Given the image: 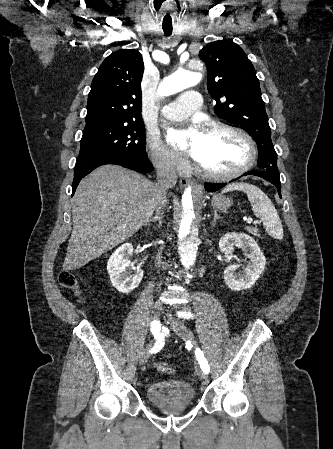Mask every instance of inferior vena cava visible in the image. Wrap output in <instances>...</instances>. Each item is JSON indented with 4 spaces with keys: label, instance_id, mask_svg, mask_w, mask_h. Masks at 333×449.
<instances>
[{
    "label": "inferior vena cava",
    "instance_id": "inferior-vena-cava-1",
    "mask_svg": "<svg viewBox=\"0 0 333 449\" xmlns=\"http://www.w3.org/2000/svg\"><path fill=\"white\" fill-rule=\"evenodd\" d=\"M157 183L159 193L157 211L165 206L167 190L177 182L175 166L167 156H163L156 162Z\"/></svg>",
    "mask_w": 333,
    "mask_h": 449
}]
</instances>
